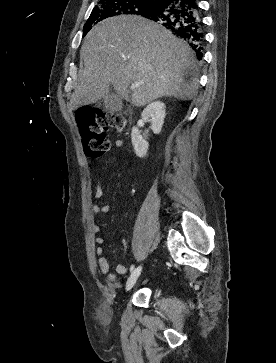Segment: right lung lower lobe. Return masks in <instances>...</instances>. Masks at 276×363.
Here are the masks:
<instances>
[{
  "mask_svg": "<svg viewBox=\"0 0 276 363\" xmlns=\"http://www.w3.org/2000/svg\"><path fill=\"white\" fill-rule=\"evenodd\" d=\"M141 16L164 26L186 41L201 59L204 33L197 0H159Z\"/></svg>",
  "mask_w": 276,
  "mask_h": 363,
  "instance_id": "98d812e1",
  "label": "right lung lower lobe"
}]
</instances>
